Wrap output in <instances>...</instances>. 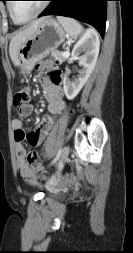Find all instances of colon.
I'll list each match as a JSON object with an SVG mask.
<instances>
[{
  "label": "colon",
  "mask_w": 133,
  "mask_h": 253,
  "mask_svg": "<svg viewBox=\"0 0 133 253\" xmlns=\"http://www.w3.org/2000/svg\"><path fill=\"white\" fill-rule=\"evenodd\" d=\"M30 99L29 89L27 87H21L14 95L13 102L15 106L22 107L26 104H28ZM71 123V122H70ZM28 162L30 166L35 171L36 175H43L44 174V168L42 166L41 161L37 157L36 154H31L28 157ZM62 177L58 174L54 175V180L56 182L60 181ZM68 180H75L76 176L71 174L66 177Z\"/></svg>",
  "instance_id": "1"
}]
</instances>
